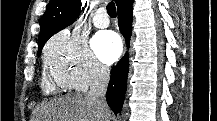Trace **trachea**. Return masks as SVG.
<instances>
[{
    "label": "trachea",
    "instance_id": "3493384b",
    "mask_svg": "<svg viewBox=\"0 0 217 121\" xmlns=\"http://www.w3.org/2000/svg\"><path fill=\"white\" fill-rule=\"evenodd\" d=\"M107 13L112 18L116 17V7H115L114 2L108 3V5H107Z\"/></svg>",
    "mask_w": 217,
    "mask_h": 121
}]
</instances>
